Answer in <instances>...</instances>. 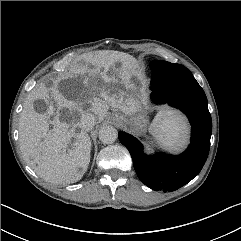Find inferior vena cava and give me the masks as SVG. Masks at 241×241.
Returning a JSON list of instances; mask_svg holds the SVG:
<instances>
[{
  "label": "inferior vena cava",
  "mask_w": 241,
  "mask_h": 241,
  "mask_svg": "<svg viewBox=\"0 0 241 241\" xmlns=\"http://www.w3.org/2000/svg\"><path fill=\"white\" fill-rule=\"evenodd\" d=\"M96 124V117L92 113H85L79 121L80 127L85 131H90Z\"/></svg>",
  "instance_id": "obj_1"
}]
</instances>
